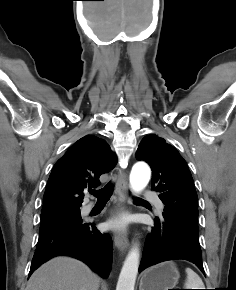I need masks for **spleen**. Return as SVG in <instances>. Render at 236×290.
Segmentation results:
<instances>
[{"label":"spleen","instance_id":"obj_1","mask_svg":"<svg viewBox=\"0 0 236 290\" xmlns=\"http://www.w3.org/2000/svg\"><path fill=\"white\" fill-rule=\"evenodd\" d=\"M186 274L185 289H204V283L197 273L190 268H186Z\"/></svg>","mask_w":236,"mask_h":290}]
</instances>
